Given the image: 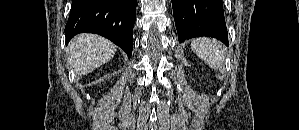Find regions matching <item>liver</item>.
Instances as JSON below:
<instances>
[{
    "instance_id": "liver-1",
    "label": "liver",
    "mask_w": 299,
    "mask_h": 130,
    "mask_svg": "<svg viewBox=\"0 0 299 130\" xmlns=\"http://www.w3.org/2000/svg\"><path fill=\"white\" fill-rule=\"evenodd\" d=\"M116 53V46L99 35L80 34L67 47V62L77 75H85L107 63Z\"/></svg>"
}]
</instances>
